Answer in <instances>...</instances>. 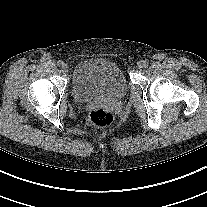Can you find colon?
<instances>
[{
  "label": "colon",
  "instance_id": "5ec220e1",
  "mask_svg": "<svg viewBox=\"0 0 207 207\" xmlns=\"http://www.w3.org/2000/svg\"><path fill=\"white\" fill-rule=\"evenodd\" d=\"M113 112L108 109L98 108L91 111L88 115L82 117V125H93L96 127H106L113 122Z\"/></svg>",
  "mask_w": 207,
  "mask_h": 207
}]
</instances>
